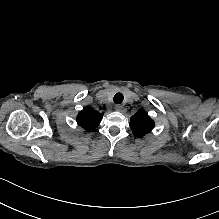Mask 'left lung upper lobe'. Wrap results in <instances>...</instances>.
I'll list each match as a JSON object with an SVG mask.
<instances>
[{"instance_id": "obj_1", "label": "left lung upper lobe", "mask_w": 219, "mask_h": 219, "mask_svg": "<svg viewBox=\"0 0 219 219\" xmlns=\"http://www.w3.org/2000/svg\"><path fill=\"white\" fill-rule=\"evenodd\" d=\"M155 126L154 121L147 115L144 110H139L130 120V127L133 134L137 137H143L149 133Z\"/></svg>"}]
</instances>
